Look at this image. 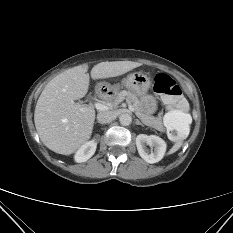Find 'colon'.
Here are the masks:
<instances>
[{"label": "colon", "instance_id": "obj_1", "mask_svg": "<svg viewBox=\"0 0 233 233\" xmlns=\"http://www.w3.org/2000/svg\"><path fill=\"white\" fill-rule=\"evenodd\" d=\"M154 91L163 96L167 104L165 124L169 137L183 138L188 133L191 116L180 87L169 75L159 73L154 79Z\"/></svg>", "mask_w": 233, "mask_h": 233}]
</instances>
